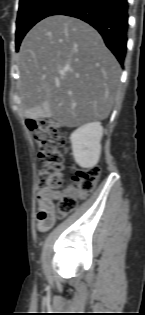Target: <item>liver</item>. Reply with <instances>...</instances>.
Segmentation results:
<instances>
[{"label":"liver","instance_id":"1","mask_svg":"<svg viewBox=\"0 0 145 315\" xmlns=\"http://www.w3.org/2000/svg\"><path fill=\"white\" fill-rule=\"evenodd\" d=\"M18 67L26 117H53L67 127L108 117L120 65L84 21L64 15L40 21L21 44Z\"/></svg>","mask_w":145,"mask_h":315}]
</instances>
